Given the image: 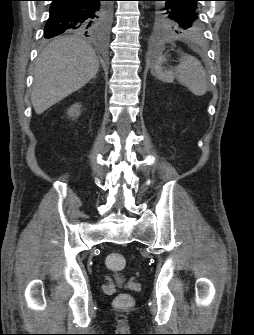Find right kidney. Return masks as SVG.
Returning <instances> with one entry per match:
<instances>
[{"label": "right kidney", "instance_id": "right-kidney-1", "mask_svg": "<svg viewBox=\"0 0 254 335\" xmlns=\"http://www.w3.org/2000/svg\"><path fill=\"white\" fill-rule=\"evenodd\" d=\"M80 108L81 105L79 103H76L72 105L68 110H67V115L73 119L79 117L80 115Z\"/></svg>", "mask_w": 254, "mask_h": 335}]
</instances>
